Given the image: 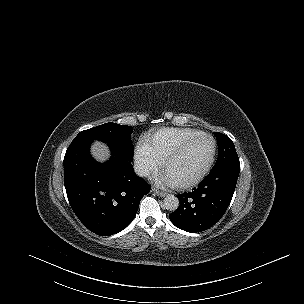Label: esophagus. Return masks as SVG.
I'll use <instances>...</instances> for the list:
<instances>
[{"mask_svg": "<svg viewBox=\"0 0 304 304\" xmlns=\"http://www.w3.org/2000/svg\"><path fill=\"white\" fill-rule=\"evenodd\" d=\"M152 192H154L156 195H158L159 197H165L167 195L166 192L160 191L158 189H156L155 187H153L151 189Z\"/></svg>", "mask_w": 304, "mask_h": 304, "instance_id": "esophagus-1", "label": "esophagus"}]
</instances>
